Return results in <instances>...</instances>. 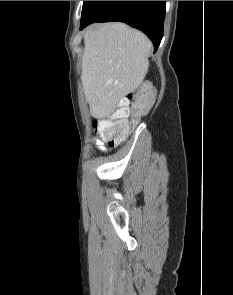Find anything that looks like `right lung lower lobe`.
Returning a JSON list of instances; mask_svg holds the SVG:
<instances>
[{"label":"right lung lower lobe","mask_w":233,"mask_h":295,"mask_svg":"<svg viewBox=\"0 0 233 295\" xmlns=\"http://www.w3.org/2000/svg\"><path fill=\"white\" fill-rule=\"evenodd\" d=\"M166 1H90L81 18L80 29L93 22L121 21L144 32L154 45L163 36Z\"/></svg>","instance_id":"1"}]
</instances>
